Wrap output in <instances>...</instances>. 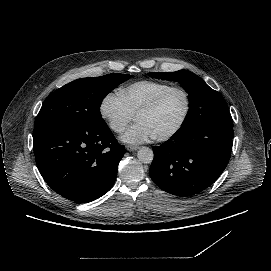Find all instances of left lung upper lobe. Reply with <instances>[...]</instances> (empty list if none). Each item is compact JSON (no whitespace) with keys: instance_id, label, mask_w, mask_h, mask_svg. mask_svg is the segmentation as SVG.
Returning <instances> with one entry per match:
<instances>
[{"instance_id":"obj_1","label":"left lung upper lobe","mask_w":271,"mask_h":271,"mask_svg":"<svg viewBox=\"0 0 271 271\" xmlns=\"http://www.w3.org/2000/svg\"><path fill=\"white\" fill-rule=\"evenodd\" d=\"M149 76L181 83L189 94V112L179 130L208 120L233 121L222 95L210 88L199 76L187 70L170 73L152 72Z\"/></svg>"}]
</instances>
